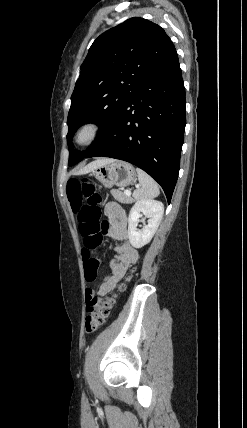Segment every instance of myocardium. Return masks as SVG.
<instances>
[{
  "mask_svg": "<svg viewBox=\"0 0 247 428\" xmlns=\"http://www.w3.org/2000/svg\"><path fill=\"white\" fill-rule=\"evenodd\" d=\"M100 131L101 125L97 121H85L75 131L73 141L79 147H88L98 139Z\"/></svg>",
  "mask_w": 247,
  "mask_h": 428,
  "instance_id": "f54148a6",
  "label": "myocardium"
}]
</instances>
